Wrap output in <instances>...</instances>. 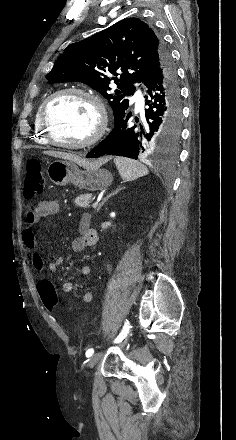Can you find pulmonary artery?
Here are the masks:
<instances>
[{
    "mask_svg": "<svg viewBox=\"0 0 236 440\" xmlns=\"http://www.w3.org/2000/svg\"><path fill=\"white\" fill-rule=\"evenodd\" d=\"M133 100L136 103L137 109H141L142 108V104H143V99H142V95H141V90L138 89L137 92L135 93Z\"/></svg>",
    "mask_w": 236,
    "mask_h": 440,
    "instance_id": "pulmonary-artery-1",
    "label": "pulmonary artery"
}]
</instances>
